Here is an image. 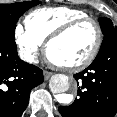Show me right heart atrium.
<instances>
[{
	"mask_svg": "<svg viewBox=\"0 0 117 117\" xmlns=\"http://www.w3.org/2000/svg\"><path fill=\"white\" fill-rule=\"evenodd\" d=\"M14 38L22 58L29 63L36 62L40 54L41 43L20 24L14 28Z\"/></svg>",
	"mask_w": 117,
	"mask_h": 117,
	"instance_id": "right-heart-atrium-1",
	"label": "right heart atrium"
}]
</instances>
